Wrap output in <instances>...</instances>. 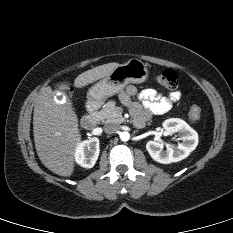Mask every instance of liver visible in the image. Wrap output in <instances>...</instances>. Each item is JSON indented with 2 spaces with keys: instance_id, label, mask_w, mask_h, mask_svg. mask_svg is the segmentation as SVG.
<instances>
[{
  "instance_id": "liver-1",
  "label": "liver",
  "mask_w": 233,
  "mask_h": 233,
  "mask_svg": "<svg viewBox=\"0 0 233 233\" xmlns=\"http://www.w3.org/2000/svg\"><path fill=\"white\" fill-rule=\"evenodd\" d=\"M118 65L112 62L85 71L76 77L74 85L82 88L104 78ZM67 86V83L57 85L63 89ZM78 126V117L71 106L56 102L51 87H42L34 106V142L42 164L59 176L69 177L74 171Z\"/></svg>"
}]
</instances>
